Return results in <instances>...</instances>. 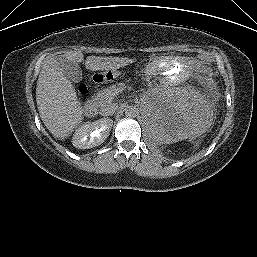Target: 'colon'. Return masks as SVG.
I'll use <instances>...</instances> for the list:
<instances>
[{"instance_id": "colon-1", "label": "colon", "mask_w": 257, "mask_h": 257, "mask_svg": "<svg viewBox=\"0 0 257 257\" xmlns=\"http://www.w3.org/2000/svg\"><path fill=\"white\" fill-rule=\"evenodd\" d=\"M197 58L200 62L204 64L210 63L212 60L211 56L205 53L199 54ZM119 76H120V72L117 70H106L95 74L93 79L95 82L103 83V82L112 81Z\"/></svg>"}]
</instances>
